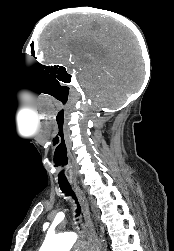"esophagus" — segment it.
<instances>
[{
	"instance_id": "1",
	"label": "esophagus",
	"mask_w": 174,
	"mask_h": 251,
	"mask_svg": "<svg viewBox=\"0 0 174 251\" xmlns=\"http://www.w3.org/2000/svg\"><path fill=\"white\" fill-rule=\"evenodd\" d=\"M73 187L75 189V192H76V195L78 197L79 203H80V205L82 207V211H83V214H84V217H85V220H86V226H87V229H88L89 237H90L91 241L94 243V245L96 247V250L100 251V244L98 243V239H97V236H96V233H95V229H94L93 223H92V221L90 219V212H89V207H88L86 197H85L84 193L82 192V190L80 189V187L76 183L74 184Z\"/></svg>"
}]
</instances>
